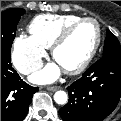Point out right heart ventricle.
I'll use <instances>...</instances> for the list:
<instances>
[{
  "label": "right heart ventricle",
  "instance_id": "e07e8e85",
  "mask_svg": "<svg viewBox=\"0 0 121 121\" xmlns=\"http://www.w3.org/2000/svg\"><path fill=\"white\" fill-rule=\"evenodd\" d=\"M77 15L45 14L35 17L29 31L32 37L43 47L49 48L58 35L71 23L80 19Z\"/></svg>",
  "mask_w": 121,
  "mask_h": 121
}]
</instances>
